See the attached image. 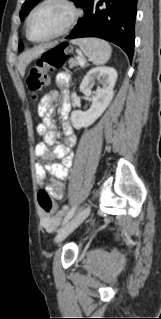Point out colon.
<instances>
[{"label": "colon", "mask_w": 161, "mask_h": 319, "mask_svg": "<svg viewBox=\"0 0 161 319\" xmlns=\"http://www.w3.org/2000/svg\"><path fill=\"white\" fill-rule=\"evenodd\" d=\"M72 54L73 50L67 44H58L42 54L27 75V85L33 95L39 93L47 85L49 81L48 70L61 68ZM38 202L45 212H51L56 207V203L47 190L39 191Z\"/></svg>", "instance_id": "5ec220e1"}]
</instances>
